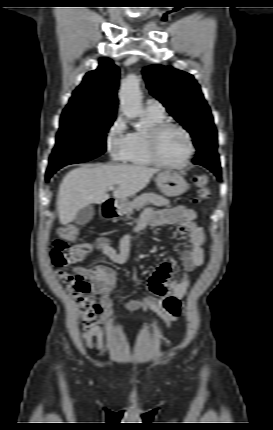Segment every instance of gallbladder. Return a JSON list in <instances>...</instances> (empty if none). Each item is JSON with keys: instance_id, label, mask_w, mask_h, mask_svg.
Listing matches in <instances>:
<instances>
[{"instance_id": "gallbladder-1", "label": "gallbladder", "mask_w": 273, "mask_h": 430, "mask_svg": "<svg viewBox=\"0 0 273 430\" xmlns=\"http://www.w3.org/2000/svg\"><path fill=\"white\" fill-rule=\"evenodd\" d=\"M93 215L94 208L93 206L88 205L77 212L74 220L77 224L84 225L92 219Z\"/></svg>"}]
</instances>
